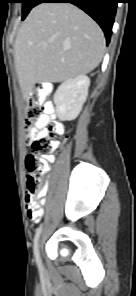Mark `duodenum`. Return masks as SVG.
Wrapping results in <instances>:
<instances>
[{
    "label": "duodenum",
    "instance_id": "410a0bca",
    "mask_svg": "<svg viewBox=\"0 0 136 296\" xmlns=\"http://www.w3.org/2000/svg\"><path fill=\"white\" fill-rule=\"evenodd\" d=\"M47 92V84H40L36 89V94L39 98H43L45 93Z\"/></svg>",
    "mask_w": 136,
    "mask_h": 296
}]
</instances>
